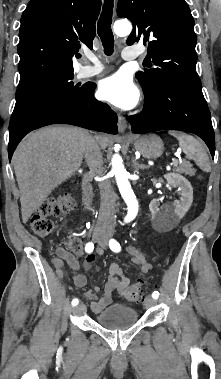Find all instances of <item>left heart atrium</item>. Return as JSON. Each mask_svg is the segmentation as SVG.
Returning a JSON list of instances; mask_svg holds the SVG:
<instances>
[{"label":"left heart atrium","instance_id":"1","mask_svg":"<svg viewBox=\"0 0 221 379\" xmlns=\"http://www.w3.org/2000/svg\"><path fill=\"white\" fill-rule=\"evenodd\" d=\"M98 96L118 108L130 109L137 104L139 92L130 77L116 73L100 82Z\"/></svg>","mask_w":221,"mask_h":379}]
</instances>
